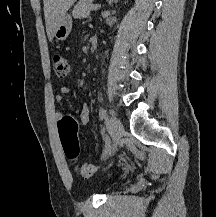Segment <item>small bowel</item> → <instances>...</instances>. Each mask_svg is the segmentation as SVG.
<instances>
[{
	"label": "small bowel",
	"mask_w": 216,
	"mask_h": 217,
	"mask_svg": "<svg viewBox=\"0 0 216 217\" xmlns=\"http://www.w3.org/2000/svg\"><path fill=\"white\" fill-rule=\"evenodd\" d=\"M70 92L69 88L66 86H62L59 88L58 94L54 97V104L55 106L60 105L63 102L64 96L67 95ZM64 117V115L56 111L54 113V120L57 124L61 121V119ZM79 120L83 126H86L89 123L90 120V107L88 103H84L82 106V109L79 114Z\"/></svg>",
	"instance_id": "small-bowel-1"
}]
</instances>
